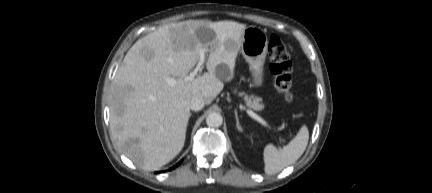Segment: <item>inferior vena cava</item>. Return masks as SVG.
Returning <instances> with one entry per match:
<instances>
[{
	"label": "inferior vena cava",
	"instance_id": "inferior-vena-cava-1",
	"mask_svg": "<svg viewBox=\"0 0 432 193\" xmlns=\"http://www.w3.org/2000/svg\"><path fill=\"white\" fill-rule=\"evenodd\" d=\"M205 105V101L202 96L195 95L190 102V108L193 111H199L201 110Z\"/></svg>",
	"mask_w": 432,
	"mask_h": 193
}]
</instances>
